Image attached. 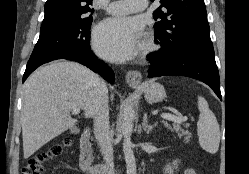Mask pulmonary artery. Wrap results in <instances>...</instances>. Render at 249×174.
<instances>
[{
	"instance_id": "pulmonary-artery-1",
	"label": "pulmonary artery",
	"mask_w": 249,
	"mask_h": 174,
	"mask_svg": "<svg viewBox=\"0 0 249 174\" xmlns=\"http://www.w3.org/2000/svg\"><path fill=\"white\" fill-rule=\"evenodd\" d=\"M147 6V0H120L111 2L106 11L111 14L124 15L131 12L142 11Z\"/></svg>"
}]
</instances>
